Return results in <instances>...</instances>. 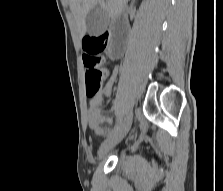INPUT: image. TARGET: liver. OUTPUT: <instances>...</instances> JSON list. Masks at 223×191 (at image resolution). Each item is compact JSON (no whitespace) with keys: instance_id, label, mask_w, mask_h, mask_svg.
I'll return each mask as SVG.
<instances>
[{"instance_id":"obj_1","label":"liver","mask_w":223,"mask_h":191,"mask_svg":"<svg viewBox=\"0 0 223 191\" xmlns=\"http://www.w3.org/2000/svg\"><path fill=\"white\" fill-rule=\"evenodd\" d=\"M127 2L128 0H69V6L80 35L83 36L86 32V17L94 6L99 4L110 17H117L122 13Z\"/></svg>"}]
</instances>
